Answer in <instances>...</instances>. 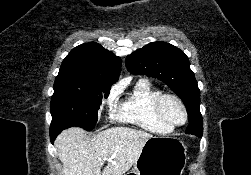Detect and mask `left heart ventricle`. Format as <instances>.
Here are the masks:
<instances>
[{"label": "left heart ventricle", "instance_id": "b2bd125f", "mask_svg": "<svg viewBox=\"0 0 251 175\" xmlns=\"http://www.w3.org/2000/svg\"><path fill=\"white\" fill-rule=\"evenodd\" d=\"M162 113L172 125H180L185 120V112L181 104L173 99L167 98L162 103Z\"/></svg>", "mask_w": 251, "mask_h": 175}]
</instances>
